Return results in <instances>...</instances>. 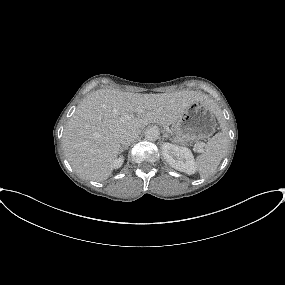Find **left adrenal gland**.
Returning a JSON list of instances; mask_svg holds the SVG:
<instances>
[{"label": "left adrenal gland", "mask_w": 285, "mask_h": 285, "mask_svg": "<svg viewBox=\"0 0 285 285\" xmlns=\"http://www.w3.org/2000/svg\"><path fill=\"white\" fill-rule=\"evenodd\" d=\"M163 137L166 139L169 138V136L167 134H164Z\"/></svg>", "instance_id": "left-adrenal-gland-1"}]
</instances>
